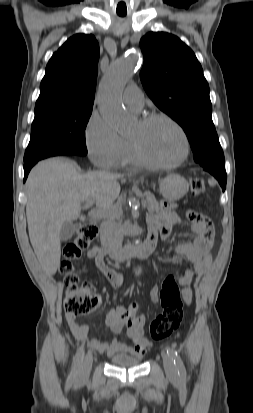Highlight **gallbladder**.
Returning <instances> with one entry per match:
<instances>
[{"label": "gallbladder", "instance_id": "1", "mask_svg": "<svg viewBox=\"0 0 253 413\" xmlns=\"http://www.w3.org/2000/svg\"><path fill=\"white\" fill-rule=\"evenodd\" d=\"M76 231V224L72 222H66L62 225L59 233V238L61 242H65L72 237Z\"/></svg>", "mask_w": 253, "mask_h": 413}]
</instances>
